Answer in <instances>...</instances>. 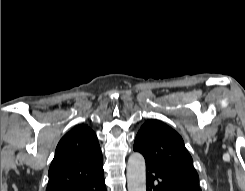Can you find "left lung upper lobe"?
<instances>
[{"label": "left lung upper lobe", "mask_w": 245, "mask_h": 191, "mask_svg": "<svg viewBox=\"0 0 245 191\" xmlns=\"http://www.w3.org/2000/svg\"><path fill=\"white\" fill-rule=\"evenodd\" d=\"M133 149L151 166L188 186L198 187L199 176L182 137L158 120L146 121L139 130Z\"/></svg>", "instance_id": "5c2ea615"}]
</instances>
